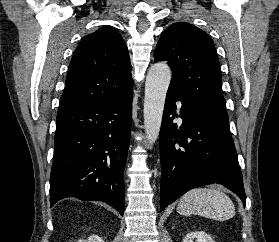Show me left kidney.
Returning <instances> with one entry per match:
<instances>
[{"label":"left kidney","mask_w":279,"mask_h":242,"mask_svg":"<svg viewBox=\"0 0 279 242\" xmlns=\"http://www.w3.org/2000/svg\"><path fill=\"white\" fill-rule=\"evenodd\" d=\"M215 242L212 237L203 231H195L188 233L183 242Z\"/></svg>","instance_id":"left-kidney-1"}]
</instances>
